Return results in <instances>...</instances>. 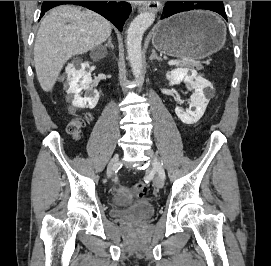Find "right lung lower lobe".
<instances>
[{"label": "right lung lower lobe", "instance_id": "98d812e1", "mask_svg": "<svg viewBox=\"0 0 271 266\" xmlns=\"http://www.w3.org/2000/svg\"><path fill=\"white\" fill-rule=\"evenodd\" d=\"M62 4L87 7L111 21L119 30H122L124 22L131 12V6L127 2L120 1H44L40 18L49 9Z\"/></svg>", "mask_w": 271, "mask_h": 266}]
</instances>
